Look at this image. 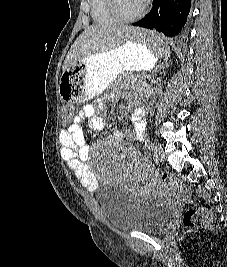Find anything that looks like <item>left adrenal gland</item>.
<instances>
[{"mask_svg": "<svg viewBox=\"0 0 227 267\" xmlns=\"http://www.w3.org/2000/svg\"><path fill=\"white\" fill-rule=\"evenodd\" d=\"M169 67V64L167 63V61L161 63L156 69L153 70L152 72V82H155L154 78L157 75V72H161L162 70H164L165 68Z\"/></svg>", "mask_w": 227, "mask_h": 267, "instance_id": "obj_1", "label": "left adrenal gland"}]
</instances>
